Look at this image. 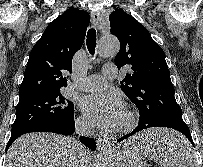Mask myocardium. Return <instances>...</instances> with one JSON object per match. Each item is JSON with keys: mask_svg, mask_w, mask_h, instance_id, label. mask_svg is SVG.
Returning <instances> with one entry per match:
<instances>
[{"mask_svg": "<svg viewBox=\"0 0 203 167\" xmlns=\"http://www.w3.org/2000/svg\"><path fill=\"white\" fill-rule=\"evenodd\" d=\"M124 122L120 126L116 128V132L118 133H127L131 131L136 124V116L133 112L128 111L124 114Z\"/></svg>", "mask_w": 203, "mask_h": 167, "instance_id": "obj_1", "label": "myocardium"}]
</instances>
